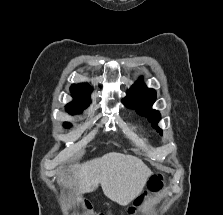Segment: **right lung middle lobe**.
Masks as SVG:
<instances>
[{
	"label": "right lung middle lobe",
	"mask_w": 223,
	"mask_h": 215,
	"mask_svg": "<svg viewBox=\"0 0 223 215\" xmlns=\"http://www.w3.org/2000/svg\"><path fill=\"white\" fill-rule=\"evenodd\" d=\"M70 114L80 113L82 109H66ZM64 126L66 128L70 127V123H65Z\"/></svg>",
	"instance_id": "1"
}]
</instances>
